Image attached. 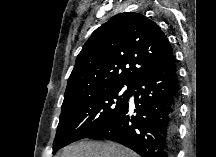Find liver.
Here are the masks:
<instances>
[{"label": "liver", "mask_w": 216, "mask_h": 157, "mask_svg": "<svg viewBox=\"0 0 216 157\" xmlns=\"http://www.w3.org/2000/svg\"><path fill=\"white\" fill-rule=\"evenodd\" d=\"M58 157H138V155L114 142L89 141L65 147Z\"/></svg>", "instance_id": "1"}]
</instances>
